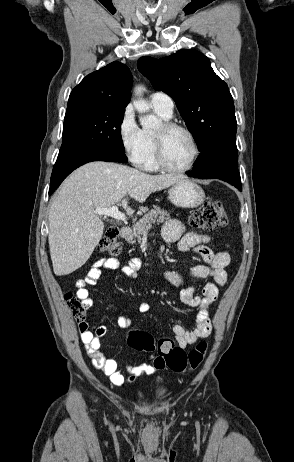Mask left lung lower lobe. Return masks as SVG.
<instances>
[{
    "label": "left lung lower lobe",
    "mask_w": 294,
    "mask_h": 462,
    "mask_svg": "<svg viewBox=\"0 0 294 462\" xmlns=\"http://www.w3.org/2000/svg\"><path fill=\"white\" fill-rule=\"evenodd\" d=\"M237 164L236 142H228L203 152L195 161L193 170L187 174L195 178L221 179L241 191V179Z\"/></svg>",
    "instance_id": "obj_1"
}]
</instances>
